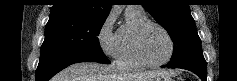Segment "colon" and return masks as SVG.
I'll use <instances>...</instances> for the list:
<instances>
[{"label":"colon","instance_id":"5ec220e1","mask_svg":"<svg viewBox=\"0 0 237 81\" xmlns=\"http://www.w3.org/2000/svg\"><path fill=\"white\" fill-rule=\"evenodd\" d=\"M183 81H191L190 78H185Z\"/></svg>","mask_w":237,"mask_h":81}]
</instances>
